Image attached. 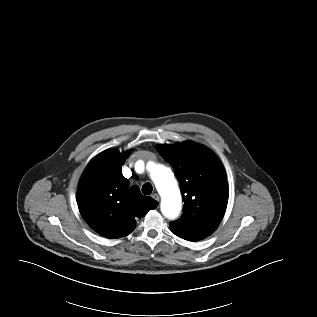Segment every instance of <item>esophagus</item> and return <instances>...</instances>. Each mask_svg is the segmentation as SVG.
Instances as JSON below:
<instances>
[{"label": "esophagus", "instance_id": "esophagus-1", "mask_svg": "<svg viewBox=\"0 0 317 317\" xmlns=\"http://www.w3.org/2000/svg\"><path fill=\"white\" fill-rule=\"evenodd\" d=\"M152 198H153L154 200L158 201V202H159V200H160V196H159L157 193L153 194V195H152Z\"/></svg>", "mask_w": 317, "mask_h": 317}]
</instances>
